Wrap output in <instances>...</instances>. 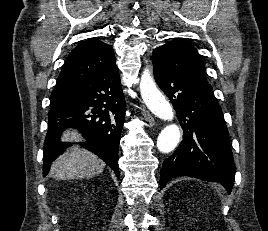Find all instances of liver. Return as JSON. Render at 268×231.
Listing matches in <instances>:
<instances>
[{
  "label": "liver",
  "mask_w": 268,
  "mask_h": 231,
  "mask_svg": "<svg viewBox=\"0 0 268 231\" xmlns=\"http://www.w3.org/2000/svg\"><path fill=\"white\" fill-rule=\"evenodd\" d=\"M82 138L75 130H67L62 135L64 142H79ZM105 163L95 154L79 146L70 148L51 166V174L56 180L93 178L101 174Z\"/></svg>",
  "instance_id": "liver-1"
}]
</instances>
